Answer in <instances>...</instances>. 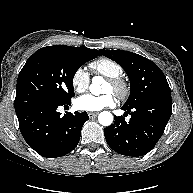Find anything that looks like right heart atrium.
<instances>
[{"label": "right heart atrium", "instance_id": "obj_1", "mask_svg": "<svg viewBox=\"0 0 193 193\" xmlns=\"http://www.w3.org/2000/svg\"><path fill=\"white\" fill-rule=\"evenodd\" d=\"M89 84L90 77L86 69L83 67L76 68L71 76V85L73 89L78 93H82L88 89Z\"/></svg>", "mask_w": 193, "mask_h": 193}]
</instances>
